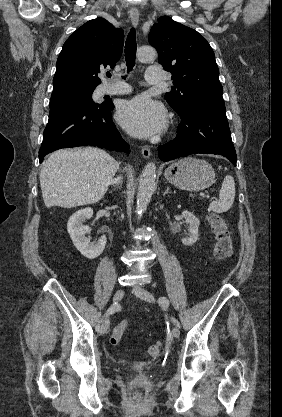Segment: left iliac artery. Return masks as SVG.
<instances>
[{
  "label": "left iliac artery",
  "mask_w": 282,
  "mask_h": 417,
  "mask_svg": "<svg viewBox=\"0 0 282 417\" xmlns=\"http://www.w3.org/2000/svg\"><path fill=\"white\" fill-rule=\"evenodd\" d=\"M158 303L164 309H167L169 306V300L166 297H160ZM171 321L176 327L180 328V323L177 319L171 318Z\"/></svg>",
  "instance_id": "obj_1"
}]
</instances>
